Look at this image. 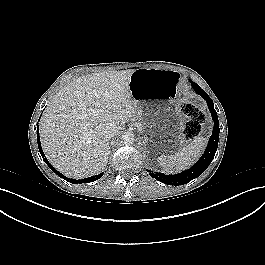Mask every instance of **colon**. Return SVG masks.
<instances>
[{
    "label": "colon",
    "mask_w": 265,
    "mask_h": 265,
    "mask_svg": "<svg viewBox=\"0 0 265 265\" xmlns=\"http://www.w3.org/2000/svg\"><path fill=\"white\" fill-rule=\"evenodd\" d=\"M180 112L188 118L183 136L191 140L197 137L205 120V114L191 102H181L179 105Z\"/></svg>",
    "instance_id": "colon-1"
}]
</instances>
